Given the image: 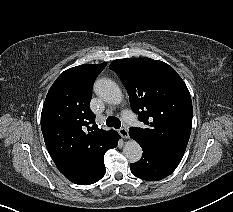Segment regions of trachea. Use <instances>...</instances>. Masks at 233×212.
Returning a JSON list of instances; mask_svg holds the SVG:
<instances>
[{
	"mask_svg": "<svg viewBox=\"0 0 233 212\" xmlns=\"http://www.w3.org/2000/svg\"><path fill=\"white\" fill-rule=\"evenodd\" d=\"M106 125L119 129L121 127V121L115 116H109L106 120Z\"/></svg>",
	"mask_w": 233,
	"mask_h": 212,
	"instance_id": "trachea-1",
	"label": "trachea"
}]
</instances>
